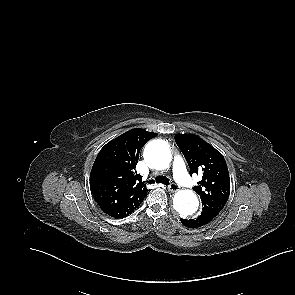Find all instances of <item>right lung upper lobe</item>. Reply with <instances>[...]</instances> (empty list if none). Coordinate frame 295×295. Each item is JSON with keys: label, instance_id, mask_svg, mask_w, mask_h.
<instances>
[{"label": "right lung upper lobe", "instance_id": "right-lung-upper-lobe-1", "mask_svg": "<svg viewBox=\"0 0 295 295\" xmlns=\"http://www.w3.org/2000/svg\"><path fill=\"white\" fill-rule=\"evenodd\" d=\"M157 133L133 129L108 142L98 153L90 174V187L100 208L109 216L132 213L150 189L135 172L139 152Z\"/></svg>", "mask_w": 295, "mask_h": 295}]
</instances>
